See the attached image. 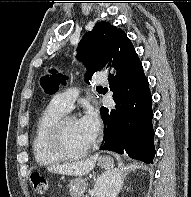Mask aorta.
Masks as SVG:
<instances>
[{
	"instance_id": "obj_1",
	"label": "aorta",
	"mask_w": 191,
	"mask_h": 197,
	"mask_svg": "<svg viewBox=\"0 0 191 197\" xmlns=\"http://www.w3.org/2000/svg\"><path fill=\"white\" fill-rule=\"evenodd\" d=\"M111 72H114L113 68L111 69ZM107 176H109L108 178L110 179V175H107ZM96 194H97L98 197L101 195L100 191H98Z\"/></svg>"
}]
</instances>
